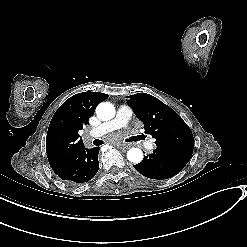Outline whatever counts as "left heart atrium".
Listing matches in <instances>:
<instances>
[{
	"label": "left heart atrium",
	"instance_id": "obj_1",
	"mask_svg": "<svg viewBox=\"0 0 247 247\" xmlns=\"http://www.w3.org/2000/svg\"><path fill=\"white\" fill-rule=\"evenodd\" d=\"M119 138V135H109V136H106V139L108 141H114V140H117Z\"/></svg>",
	"mask_w": 247,
	"mask_h": 247
}]
</instances>
